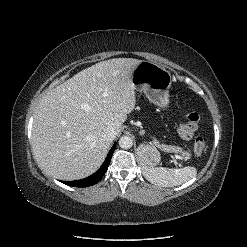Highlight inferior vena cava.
I'll return each mask as SVG.
<instances>
[{
	"label": "inferior vena cava",
	"instance_id": "obj_1",
	"mask_svg": "<svg viewBox=\"0 0 247 247\" xmlns=\"http://www.w3.org/2000/svg\"><path fill=\"white\" fill-rule=\"evenodd\" d=\"M102 136L105 140L112 141L116 136V132L112 127H108L102 132Z\"/></svg>",
	"mask_w": 247,
	"mask_h": 247
}]
</instances>
